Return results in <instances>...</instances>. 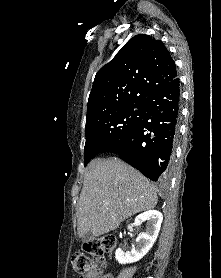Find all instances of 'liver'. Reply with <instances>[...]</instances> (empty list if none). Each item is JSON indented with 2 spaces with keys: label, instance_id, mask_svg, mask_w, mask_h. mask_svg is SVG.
<instances>
[{
  "label": "liver",
  "instance_id": "1",
  "mask_svg": "<svg viewBox=\"0 0 221 278\" xmlns=\"http://www.w3.org/2000/svg\"><path fill=\"white\" fill-rule=\"evenodd\" d=\"M154 185L119 158L95 159L85 171L77 205L79 237L114 231L129 217L157 204Z\"/></svg>",
  "mask_w": 221,
  "mask_h": 278
}]
</instances>
